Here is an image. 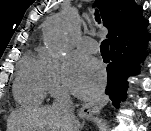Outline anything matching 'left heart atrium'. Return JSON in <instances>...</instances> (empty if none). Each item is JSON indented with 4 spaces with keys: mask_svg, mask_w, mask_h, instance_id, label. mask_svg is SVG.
I'll return each mask as SVG.
<instances>
[{
    "mask_svg": "<svg viewBox=\"0 0 151 131\" xmlns=\"http://www.w3.org/2000/svg\"><path fill=\"white\" fill-rule=\"evenodd\" d=\"M69 83L74 95L85 100L91 99L102 91L105 72L94 59L77 54L71 60Z\"/></svg>",
    "mask_w": 151,
    "mask_h": 131,
    "instance_id": "obj_1",
    "label": "left heart atrium"
}]
</instances>
